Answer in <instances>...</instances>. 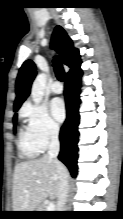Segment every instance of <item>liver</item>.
Returning a JSON list of instances; mask_svg holds the SVG:
<instances>
[{"label": "liver", "instance_id": "obj_1", "mask_svg": "<svg viewBox=\"0 0 123 219\" xmlns=\"http://www.w3.org/2000/svg\"><path fill=\"white\" fill-rule=\"evenodd\" d=\"M58 188L56 164L47 155L17 164L13 177V211H35L46 198H56Z\"/></svg>", "mask_w": 123, "mask_h": 219}]
</instances>
